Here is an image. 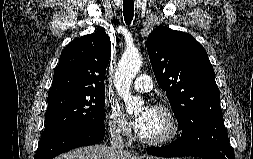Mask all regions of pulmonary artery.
Masks as SVG:
<instances>
[{
	"mask_svg": "<svg viewBox=\"0 0 253 159\" xmlns=\"http://www.w3.org/2000/svg\"><path fill=\"white\" fill-rule=\"evenodd\" d=\"M133 87L138 92H149L152 90L153 84L148 75L141 74L135 78Z\"/></svg>",
	"mask_w": 253,
	"mask_h": 159,
	"instance_id": "pulmonary-artery-1",
	"label": "pulmonary artery"
}]
</instances>
